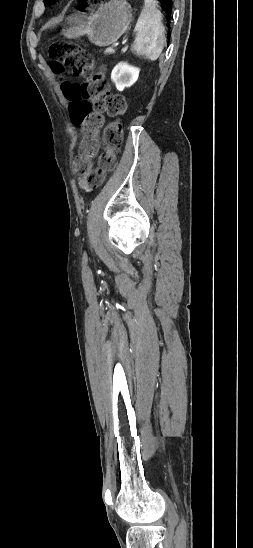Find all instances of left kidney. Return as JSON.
Segmentation results:
<instances>
[{
    "label": "left kidney",
    "mask_w": 253,
    "mask_h": 548,
    "mask_svg": "<svg viewBox=\"0 0 253 548\" xmlns=\"http://www.w3.org/2000/svg\"><path fill=\"white\" fill-rule=\"evenodd\" d=\"M139 69L126 62L117 64L111 73V80L115 83L117 90L123 91L131 87L138 79Z\"/></svg>",
    "instance_id": "1"
}]
</instances>
